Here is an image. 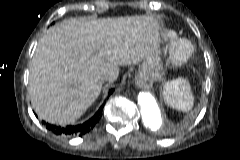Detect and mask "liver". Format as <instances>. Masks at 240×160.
<instances>
[{
	"label": "liver",
	"mask_w": 240,
	"mask_h": 160,
	"mask_svg": "<svg viewBox=\"0 0 240 160\" xmlns=\"http://www.w3.org/2000/svg\"><path fill=\"white\" fill-rule=\"evenodd\" d=\"M159 23L150 16L71 18L40 38L30 65L29 94L37 115L72 124L98 98L119 66L156 56Z\"/></svg>",
	"instance_id": "liver-1"
}]
</instances>
